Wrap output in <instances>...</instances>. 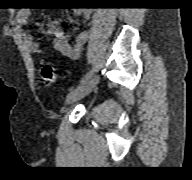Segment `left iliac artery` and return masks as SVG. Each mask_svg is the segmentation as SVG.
<instances>
[{"mask_svg":"<svg viewBox=\"0 0 192 180\" xmlns=\"http://www.w3.org/2000/svg\"><path fill=\"white\" fill-rule=\"evenodd\" d=\"M91 76H92V71L86 73V74L84 75V77L81 79L80 85L83 84V83H85L88 79H90Z\"/></svg>","mask_w":192,"mask_h":180,"instance_id":"44dca946","label":"left iliac artery"}]
</instances>
